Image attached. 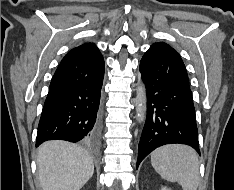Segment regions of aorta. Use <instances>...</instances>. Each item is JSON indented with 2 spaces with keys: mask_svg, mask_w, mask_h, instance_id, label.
Returning a JSON list of instances; mask_svg holds the SVG:
<instances>
[{
  "mask_svg": "<svg viewBox=\"0 0 234 190\" xmlns=\"http://www.w3.org/2000/svg\"><path fill=\"white\" fill-rule=\"evenodd\" d=\"M147 110V98L146 89L143 83H140L137 87L136 94V117L139 123H143L146 119Z\"/></svg>",
  "mask_w": 234,
  "mask_h": 190,
  "instance_id": "aorta-1",
  "label": "aorta"
}]
</instances>
